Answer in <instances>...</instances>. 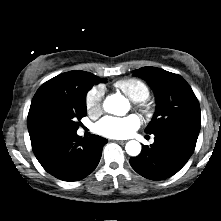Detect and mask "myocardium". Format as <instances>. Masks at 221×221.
<instances>
[{"label": "myocardium", "instance_id": "obj_1", "mask_svg": "<svg viewBox=\"0 0 221 221\" xmlns=\"http://www.w3.org/2000/svg\"><path fill=\"white\" fill-rule=\"evenodd\" d=\"M141 108L145 113H149L151 111V108L145 104H141Z\"/></svg>", "mask_w": 221, "mask_h": 221}]
</instances>
